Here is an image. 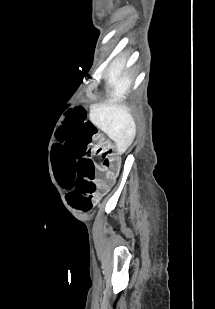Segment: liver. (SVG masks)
<instances>
[{"label":"liver","mask_w":215,"mask_h":309,"mask_svg":"<svg viewBox=\"0 0 215 309\" xmlns=\"http://www.w3.org/2000/svg\"><path fill=\"white\" fill-rule=\"evenodd\" d=\"M126 58L122 54L121 58L116 56L108 68L109 86L113 88L110 92L111 98H108L109 104H102L100 108H92L90 118L98 128L104 130L112 140L117 144L118 152H125L128 146L132 144L136 134L135 120L130 114V108L123 104H115L126 98L134 78L125 70Z\"/></svg>","instance_id":"liver-1"}]
</instances>
